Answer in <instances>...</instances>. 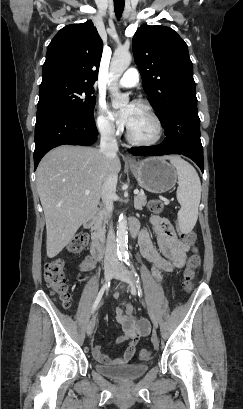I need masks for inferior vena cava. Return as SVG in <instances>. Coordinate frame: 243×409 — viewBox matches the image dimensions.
Instances as JSON below:
<instances>
[{
  "mask_svg": "<svg viewBox=\"0 0 243 409\" xmlns=\"http://www.w3.org/2000/svg\"><path fill=\"white\" fill-rule=\"evenodd\" d=\"M118 151L117 140L115 137V129L112 126H105L101 131L100 152L106 157L108 162H111ZM117 176L110 171L107 175L102 187V201L104 203L106 214L111 217L113 211V201L116 198ZM117 262V245L113 224L111 222L107 235L105 249V264H115Z\"/></svg>",
  "mask_w": 243,
  "mask_h": 409,
  "instance_id": "602c4592",
  "label": "inferior vena cava"
}]
</instances>
